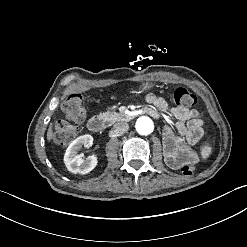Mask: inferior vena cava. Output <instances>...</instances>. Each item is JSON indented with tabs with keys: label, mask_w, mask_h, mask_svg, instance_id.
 <instances>
[{
	"label": "inferior vena cava",
	"mask_w": 247,
	"mask_h": 247,
	"mask_svg": "<svg viewBox=\"0 0 247 247\" xmlns=\"http://www.w3.org/2000/svg\"><path fill=\"white\" fill-rule=\"evenodd\" d=\"M113 129L116 134L122 135L128 131L129 125L126 122H118L114 124Z\"/></svg>",
	"instance_id": "inferior-vena-cava-1"
}]
</instances>
